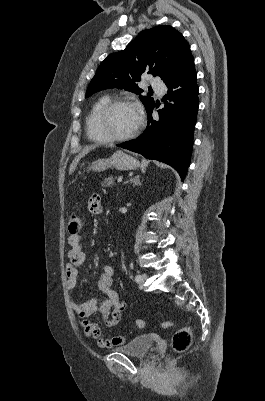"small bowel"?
Segmentation results:
<instances>
[{
	"mask_svg": "<svg viewBox=\"0 0 265 401\" xmlns=\"http://www.w3.org/2000/svg\"><path fill=\"white\" fill-rule=\"evenodd\" d=\"M88 209L94 215L102 213L99 195H93L90 198ZM68 245L70 249L67 253L68 263L66 264V278L67 287L71 290L74 289L77 284L79 277L78 267L84 263L86 254L82 248L80 235L71 234L68 237ZM113 277L114 269L111 266L103 267L97 281V286L99 290L106 295L105 299L94 297L85 302L71 303L73 311L82 320L81 326L85 336L97 340L98 346L106 349L124 344L125 338L122 336L103 338L101 329L87 318L93 313L98 312L103 316L105 326L111 328L119 323L125 304L121 301L118 293L112 288Z\"/></svg>",
	"mask_w": 265,
	"mask_h": 401,
	"instance_id": "1",
	"label": "small bowel"
}]
</instances>
